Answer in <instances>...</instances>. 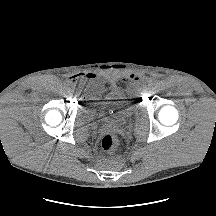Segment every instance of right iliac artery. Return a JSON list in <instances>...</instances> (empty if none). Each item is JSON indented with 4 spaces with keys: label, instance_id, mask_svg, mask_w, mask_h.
<instances>
[{
    "label": "right iliac artery",
    "instance_id": "right-iliac-artery-1",
    "mask_svg": "<svg viewBox=\"0 0 216 216\" xmlns=\"http://www.w3.org/2000/svg\"><path fill=\"white\" fill-rule=\"evenodd\" d=\"M66 90H67V91H71V90H72V87H71V86H67V87H66Z\"/></svg>",
    "mask_w": 216,
    "mask_h": 216
}]
</instances>
